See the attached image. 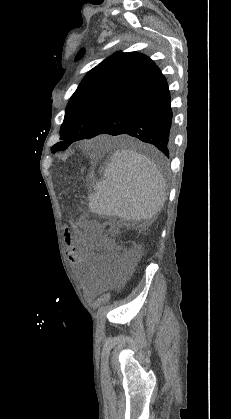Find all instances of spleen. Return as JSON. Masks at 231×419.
Returning <instances> with one entry per match:
<instances>
[{"label": "spleen", "mask_w": 231, "mask_h": 419, "mask_svg": "<svg viewBox=\"0 0 231 419\" xmlns=\"http://www.w3.org/2000/svg\"><path fill=\"white\" fill-rule=\"evenodd\" d=\"M89 199L93 213L126 220H150L163 207L166 184L160 170L146 156L117 150L104 170V179Z\"/></svg>", "instance_id": "3e777b00"}]
</instances>
